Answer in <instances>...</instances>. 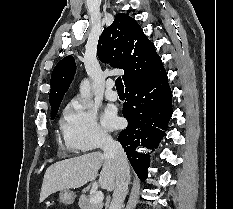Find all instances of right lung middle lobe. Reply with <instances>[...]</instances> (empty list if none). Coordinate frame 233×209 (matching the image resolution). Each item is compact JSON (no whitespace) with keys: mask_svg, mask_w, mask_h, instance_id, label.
Wrapping results in <instances>:
<instances>
[{"mask_svg":"<svg viewBox=\"0 0 233 209\" xmlns=\"http://www.w3.org/2000/svg\"><path fill=\"white\" fill-rule=\"evenodd\" d=\"M58 109H59V108H57L56 110L52 111V116H51V119H52V120L55 118Z\"/></svg>","mask_w":233,"mask_h":209,"instance_id":"obj_1","label":"right lung middle lobe"}]
</instances>
